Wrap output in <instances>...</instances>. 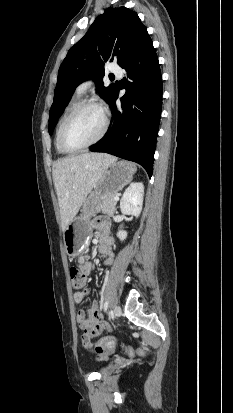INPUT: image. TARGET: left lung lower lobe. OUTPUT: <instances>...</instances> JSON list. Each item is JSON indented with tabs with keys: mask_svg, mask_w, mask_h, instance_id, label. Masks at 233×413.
<instances>
[{
	"mask_svg": "<svg viewBox=\"0 0 233 413\" xmlns=\"http://www.w3.org/2000/svg\"><path fill=\"white\" fill-rule=\"evenodd\" d=\"M120 67L126 70L121 108L116 107L118 94L114 90L109 101L111 126L90 150L137 162L151 177L162 108V77L148 33Z\"/></svg>",
	"mask_w": 233,
	"mask_h": 413,
	"instance_id": "1",
	"label": "left lung lower lobe"
}]
</instances>
